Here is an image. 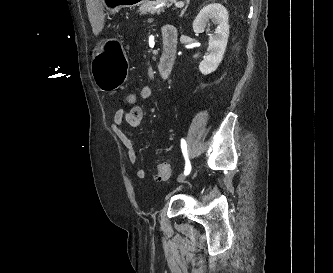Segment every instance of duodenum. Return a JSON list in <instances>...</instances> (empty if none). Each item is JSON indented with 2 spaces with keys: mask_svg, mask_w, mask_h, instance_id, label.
I'll use <instances>...</instances> for the list:
<instances>
[{
  "mask_svg": "<svg viewBox=\"0 0 333 273\" xmlns=\"http://www.w3.org/2000/svg\"><path fill=\"white\" fill-rule=\"evenodd\" d=\"M178 47V31L172 25L162 28V53L158 64V74L161 79H168L173 71Z\"/></svg>",
  "mask_w": 333,
  "mask_h": 273,
  "instance_id": "obj_1",
  "label": "duodenum"
}]
</instances>
